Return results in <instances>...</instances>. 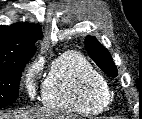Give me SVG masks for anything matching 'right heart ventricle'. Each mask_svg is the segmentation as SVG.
Returning a JSON list of instances; mask_svg holds the SVG:
<instances>
[{"mask_svg":"<svg viewBox=\"0 0 142 119\" xmlns=\"http://www.w3.org/2000/svg\"><path fill=\"white\" fill-rule=\"evenodd\" d=\"M41 98L49 107L96 115L109 102V87L83 55L67 51L51 64L42 83Z\"/></svg>","mask_w":142,"mask_h":119,"instance_id":"obj_1","label":"right heart ventricle"}]
</instances>
